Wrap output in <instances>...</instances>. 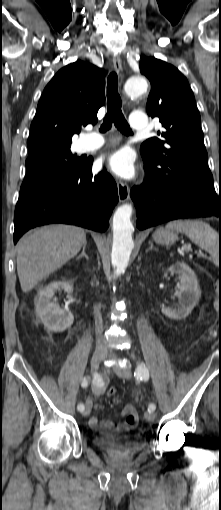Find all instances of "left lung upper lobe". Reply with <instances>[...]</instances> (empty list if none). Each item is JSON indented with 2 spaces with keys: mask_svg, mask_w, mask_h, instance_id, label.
Listing matches in <instances>:
<instances>
[{
  "mask_svg": "<svg viewBox=\"0 0 221 510\" xmlns=\"http://www.w3.org/2000/svg\"><path fill=\"white\" fill-rule=\"evenodd\" d=\"M140 71L151 82L146 110L163 131L141 145V155L163 185L198 182L213 185L200 127V113L187 79L174 66L144 58Z\"/></svg>",
  "mask_w": 221,
  "mask_h": 510,
  "instance_id": "1",
  "label": "left lung upper lobe"
}]
</instances>
